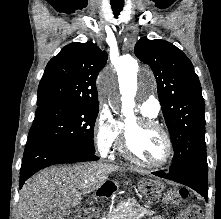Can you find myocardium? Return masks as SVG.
<instances>
[{"label": "myocardium", "mask_w": 221, "mask_h": 219, "mask_svg": "<svg viewBox=\"0 0 221 219\" xmlns=\"http://www.w3.org/2000/svg\"><path fill=\"white\" fill-rule=\"evenodd\" d=\"M136 123L139 127L155 129L163 135L165 143H166L165 156H164L163 160L157 164H150V163H146V162L140 160L133 153V151L130 147L128 129H127L126 125L124 127L122 141H121V145H120V151H121L122 155L126 159L130 160L131 162L137 164L138 166H140L142 168H146L149 170H159V169L165 168L171 162L173 155H174L173 142H172L169 132L159 122H157L151 118L139 117L136 120Z\"/></svg>", "instance_id": "obj_1"}]
</instances>
